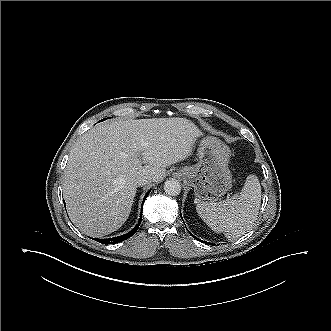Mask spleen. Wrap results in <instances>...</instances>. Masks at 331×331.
<instances>
[{
    "label": "spleen",
    "instance_id": "1",
    "mask_svg": "<svg viewBox=\"0 0 331 331\" xmlns=\"http://www.w3.org/2000/svg\"><path fill=\"white\" fill-rule=\"evenodd\" d=\"M261 187L255 175L248 176L242 190L221 202L198 201L197 213L215 232L228 238H239L250 228L257 216Z\"/></svg>",
    "mask_w": 331,
    "mask_h": 331
}]
</instances>
